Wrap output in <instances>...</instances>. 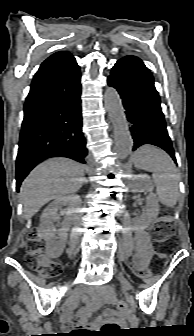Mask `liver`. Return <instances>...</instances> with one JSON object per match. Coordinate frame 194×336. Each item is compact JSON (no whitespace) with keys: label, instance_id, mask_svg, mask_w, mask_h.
I'll use <instances>...</instances> for the list:
<instances>
[{"label":"liver","instance_id":"1","mask_svg":"<svg viewBox=\"0 0 194 336\" xmlns=\"http://www.w3.org/2000/svg\"><path fill=\"white\" fill-rule=\"evenodd\" d=\"M86 181L84 166L68 158H50L36 166L23 181L20 200L26 217L34 216L52 199L74 194Z\"/></svg>","mask_w":194,"mask_h":336}]
</instances>
